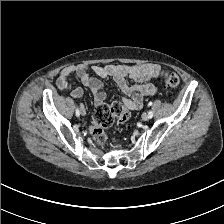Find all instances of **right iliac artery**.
<instances>
[{
	"mask_svg": "<svg viewBox=\"0 0 224 224\" xmlns=\"http://www.w3.org/2000/svg\"><path fill=\"white\" fill-rule=\"evenodd\" d=\"M79 115H80V110H79V108L77 107V109H76V116L79 117Z\"/></svg>",
	"mask_w": 224,
	"mask_h": 224,
	"instance_id": "right-iliac-artery-1",
	"label": "right iliac artery"
}]
</instances>
